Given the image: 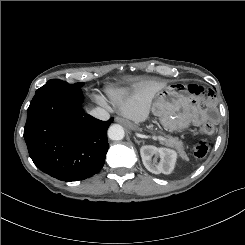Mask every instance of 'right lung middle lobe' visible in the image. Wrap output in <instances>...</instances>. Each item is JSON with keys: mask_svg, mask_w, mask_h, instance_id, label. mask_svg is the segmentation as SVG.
Here are the masks:
<instances>
[{"mask_svg": "<svg viewBox=\"0 0 245 245\" xmlns=\"http://www.w3.org/2000/svg\"><path fill=\"white\" fill-rule=\"evenodd\" d=\"M62 85H69V86L81 87L83 85V83L68 84L67 82H64L62 80L51 79L44 86H42L41 88H39L37 91H39V90H41L43 88H46V87H50V86H62Z\"/></svg>", "mask_w": 245, "mask_h": 245, "instance_id": "obj_1", "label": "right lung middle lobe"}]
</instances>
